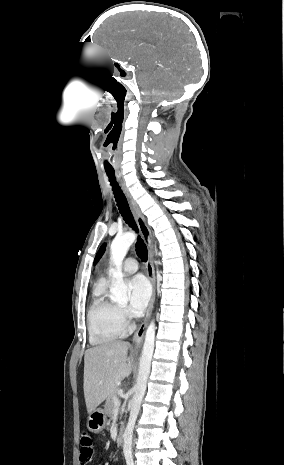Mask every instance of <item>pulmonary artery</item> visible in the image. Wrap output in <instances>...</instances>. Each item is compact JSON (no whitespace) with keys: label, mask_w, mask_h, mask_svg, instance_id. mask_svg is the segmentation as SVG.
Returning a JSON list of instances; mask_svg holds the SVG:
<instances>
[{"label":"pulmonary artery","mask_w":284,"mask_h":465,"mask_svg":"<svg viewBox=\"0 0 284 465\" xmlns=\"http://www.w3.org/2000/svg\"><path fill=\"white\" fill-rule=\"evenodd\" d=\"M138 270V263L134 258H127L126 262L122 265V271L126 275L135 273Z\"/></svg>","instance_id":"obj_1"}]
</instances>
